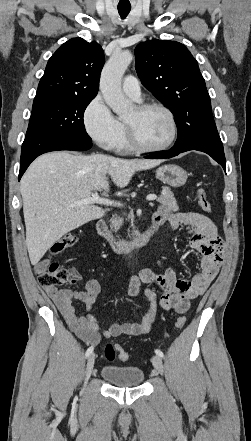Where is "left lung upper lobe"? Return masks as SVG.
Listing matches in <instances>:
<instances>
[{
  "instance_id": "5c2ea615",
  "label": "left lung upper lobe",
  "mask_w": 251,
  "mask_h": 441,
  "mask_svg": "<svg viewBox=\"0 0 251 441\" xmlns=\"http://www.w3.org/2000/svg\"><path fill=\"white\" fill-rule=\"evenodd\" d=\"M135 56L142 84L170 109L177 128L203 115L213 117L198 63L183 44L148 40L136 46Z\"/></svg>"
}]
</instances>
